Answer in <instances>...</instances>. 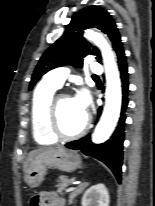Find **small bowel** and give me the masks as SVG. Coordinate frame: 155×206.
Returning a JSON list of instances; mask_svg holds the SVG:
<instances>
[{
	"instance_id": "small-bowel-1",
	"label": "small bowel",
	"mask_w": 155,
	"mask_h": 206,
	"mask_svg": "<svg viewBox=\"0 0 155 206\" xmlns=\"http://www.w3.org/2000/svg\"><path fill=\"white\" fill-rule=\"evenodd\" d=\"M37 198L38 206H64V199L54 192L42 193Z\"/></svg>"
}]
</instances>
